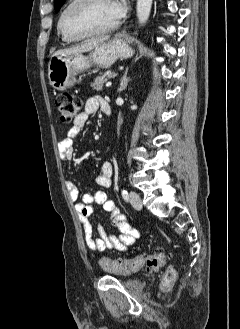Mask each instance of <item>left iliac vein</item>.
Returning a JSON list of instances; mask_svg holds the SVG:
<instances>
[{"label": "left iliac vein", "mask_w": 240, "mask_h": 329, "mask_svg": "<svg viewBox=\"0 0 240 329\" xmlns=\"http://www.w3.org/2000/svg\"><path fill=\"white\" fill-rule=\"evenodd\" d=\"M129 197H130V203H131V205L136 210H141L142 209V202H141L140 196L136 192L131 191Z\"/></svg>", "instance_id": "4c4485c4"}]
</instances>
